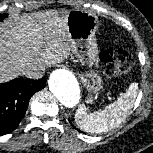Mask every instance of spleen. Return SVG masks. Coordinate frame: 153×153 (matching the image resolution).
<instances>
[{
    "instance_id": "obj_1",
    "label": "spleen",
    "mask_w": 153,
    "mask_h": 153,
    "mask_svg": "<svg viewBox=\"0 0 153 153\" xmlns=\"http://www.w3.org/2000/svg\"><path fill=\"white\" fill-rule=\"evenodd\" d=\"M138 83H131L126 92L122 93L116 102L103 110L88 113L81 105L75 114V121L79 128L88 133L100 134L119 126L128 116L137 97Z\"/></svg>"
}]
</instances>
